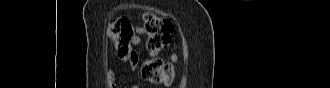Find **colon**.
Returning a JSON list of instances; mask_svg holds the SVG:
<instances>
[{
    "label": "colon",
    "mask_w": 330,
    "mask_h": 88,
    "mask_svg": "<svg viewBox=\"0 0 330 88\" xmlns=\"http://www.w3.org/2000/svg\"><path fill=\"white\" fill-rule=\"evenodd\" d=\"M142 28L147 35L145 46L148 58L142 63L141 76L151 84L170 85L175 76V58L165 61L160 53L171 43L172 22L155 13H147ZM134 35V27L125 18L116 19L107 29V37L114 44L117 55L121 58L131 54V40Z\"/></svg>",
    "instance_id": "obj_1"
}]
</instances>
